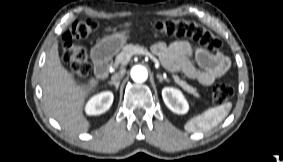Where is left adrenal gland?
<instances>
[{
    "label": "left adrenal gland",
    "instance_id": "left-adrenal-gland-1",
    "mask_svg": "<svg viewBox=\"0 0 283 162\" xmlns=\"http://www.w3.org/2000/svg\"><path fill=\"white\" fill-rule=\"evenodd\" d=\"M157 78H159V81L162 83L164 80L166 81V82H169V79L168 78H165V77H163L162 75H160V74H157Z\"/></svg>",
    "mask_w": 283,
    "mask_h": 162
}]
</instances>
